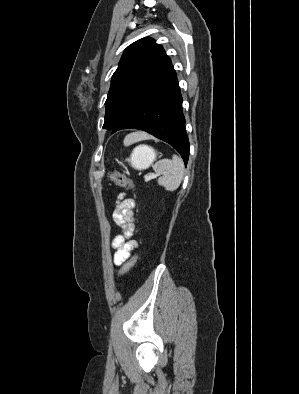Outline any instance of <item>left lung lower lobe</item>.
Instances as JSON below:
<instances>
[{
  "label": "left lung lower lobe",
  "mask_w": 299,
  "mask_h": 394,
  "mask_svg": "<svg viewBox=\"0 0 299 394\" xmlns=\"http://www.w3.org/2000/svg\"><path fill=\"white\" fill-rule=\"evenodd\" d=\"M122 129L143 130L169 143L187 164L189 141L180 88L172 65L147 87L112 133Z\"/></svg>",
  "instance_id": "obj_1"
}]
</instances>
